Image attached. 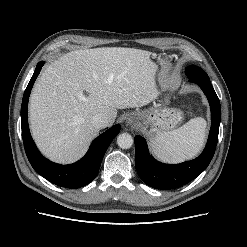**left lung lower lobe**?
Returning <instances> with one entry per match:
<instances>
[{
	"instance_id": "0a47b994",
	"label": "left lung lower lobe",
	"mask_w": 247,
	"mask_h": 247,
	"mask_svg": "<svg viewBox=\"0 0 247 247\" xmlns=\"http://www.w3.org/2000/svg\"><path fill=\"white\" fill-rule=\"evenodd\" d=\"M203 90L211 108V129L206 147L194 160L180 164H163L156 161L149 153L147 143L141 136L135 137V166L139 177L150 187L156 189H174L185 185L199 176L209 165L215 153L219 125L221 120L220 101L210 80L189 76Z\"/></svg>"
}]
</instances>
